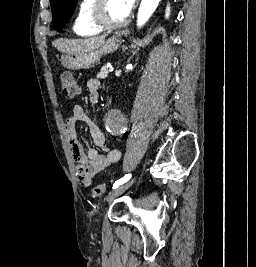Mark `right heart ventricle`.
<instances>
[{"label":"right heart ventricle","instance_id":"e07e8e85","mask_svg":"<svg viewBox=\"0 0 256 267\" xmlns=\"http://www.w3.org/2000/svg\"><path fill=\"white\" fill-rule=\"evenodd\" d=\"M86 6L81 10L79 17L72 27V31L77 36H100L103 31L97 28L91 19L95 0H85Z\"/></svg>","mask_w":256,"mask_h":267}]
</instances>
